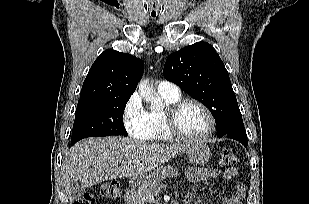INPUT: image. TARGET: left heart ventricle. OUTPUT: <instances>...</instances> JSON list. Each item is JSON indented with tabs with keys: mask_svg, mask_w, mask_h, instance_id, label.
<instances>
[{
	"mask_svg": "<svg viewBox=\"0 0 309 204\" xmlns=\"http://www.w3.org/2000/svg\"><path fill=\"white\" fill-rule=\"evenodd\" d=\"M178 126L182 132L190 136H202L209 128L204 111L195 104H187L178 115Z\"/></svg>",
	"mask_w": 309,
	"mask_h": 204,
	"instance_id": "left-heart-ventricle-1",
	"label": "left heart ventricle"
}]
</instances>
